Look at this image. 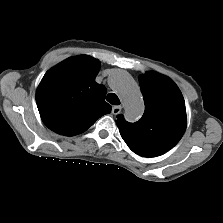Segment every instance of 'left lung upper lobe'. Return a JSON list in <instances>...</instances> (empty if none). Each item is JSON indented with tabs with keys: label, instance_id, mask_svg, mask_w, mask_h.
Here are the masks:
<instances>
[{
	"label": "left lung upper lobe",
	"instance_id": "1",
	"mask_svg": "<svg viewBox=\"0 0 223 223\" xmlns=\"http://www.w3.org/2000/svg\"><path fill=\"white\" fill-rule=\"evenodd\" d=\"M145 103L142 118L126 122L121 115L116 121L128 147L143 157H156L173 148L186 129V109L181 91L168 77L147 72L139 78Z\"/></svg>",
	"mask_w": 223,
	"mask_h": 223
}]
</instances>
